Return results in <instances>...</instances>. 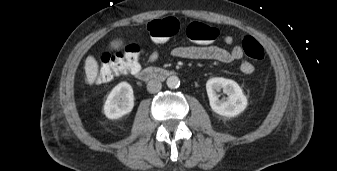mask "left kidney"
I'll use <instances>...</instances> for the list:
<instances>
[{
    "label": "left kidney",
    "instance_id": "5707ae66",
    "mask_svg": "<svg viewBox=\"0 0 337 171\" xmlns=\"http://www.w3.org/2000/svg\"><path fill=\"white\" fill-rule=\"evenodd\" d=\"M223 89L228 95L226 100H220L216 91ZM206 90L211 109L225 117H234L247 107V98L237 82L223 77L211 78L206 83Z\"/></svg>",
    "mask_w": 337,
    "mask_h": 171
}]
</instances>
